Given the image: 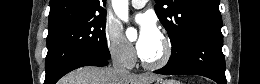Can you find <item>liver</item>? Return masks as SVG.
Wrapping results in <instances>:
<instances>
[{"label": "liver", "instance_id": "6515ba94", "mask_svg": "<svg viewBox=\"0 0 260 84\" xmlns=\"http://www.w3.org/2000/svg\"><path fill=\"white\" fill-rule=\"evenodd\" d=\"M156 75H121L112 68L82 67L63 77L59 84H151Z\"/></svg>", "mask_w": 260, "mask_h": 84}]
</instances>
